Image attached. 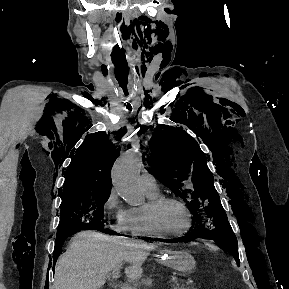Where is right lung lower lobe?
Masks as SVG:
<instances>
[{"label": "right lung lower lobe", "instance_id": "right-lung-lower-lobe-1", "mask_svg": "<svg viewBox=\"0 0 289 289\" xmlns=\"http://www.w3.org/2000/svg\"><path fill=\"white\" fill-rule=\"evenodd\" d=\"M106 233H109V234H118V233H114L112 231H105ZM73 235V234H72ZM71 236V235H70ZM69 237V236H68ZM66 237V239L68 238ZM65 240V238L63 237H57L56 238V245H55V249H54V261L57 260L60 252H61V245L63 243V241Z\"/></svg>", "mask_w": 289, "mask_h": 289}]
</instances>
